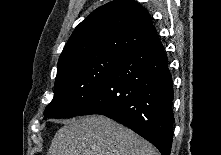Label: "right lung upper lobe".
I'll return each mask as SVG.
<instances>
[{
    "label": "right lung upper lobe",
    "mask_w": 221,
    "mask_h": 155,
    "mask_svg": "<svg viewBox=\"0 0 221 155\" xmlns=\"http://www.w3.org/2000/svg\"><path fill=\"white\" fill-rule=\"evenodd\" d=\"M157 35L148 11L132 0H115L93 11L74 30L58 61L57 71L69 63L103 53L125 55Z\"/></svg>",
    "instance_id": "right-lung-upper-lobe-1"
}]
</instances>
